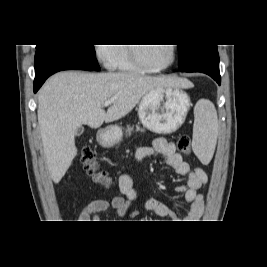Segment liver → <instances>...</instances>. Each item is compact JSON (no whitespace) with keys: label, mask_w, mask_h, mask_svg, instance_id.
Returning <instances> with one entry per match:
<instances>
[{"label":"liver","mask_w":267,"mask_h":267,"mask_svg":"<svg viewBox=\"0 0 267 267\" xmlns=\"http://www.w3.org/2000/svg\"><path fill=\"white\" fill-rule=\"evenodd\" d=\"M183 78L135 73L59 72L38 93V123L47 167L59 183L77 155L74 135L82 124L99 128L126 116L150 90L192 88ZM106 101H112L107 112Z\"/></svg>","instance_id":"1"}]
</instances>
